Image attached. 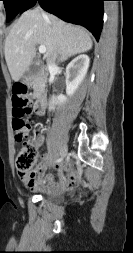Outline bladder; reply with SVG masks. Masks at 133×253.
I'll use <instances>...</instances> for the list:
<instances>
[{
    "label": "bladder",
    "instance_id": "obj_1",
    "mask_svg": "<svg viewBox=\"0 0 133 253\" xmlns=\"http://www.w3.org/2000/svg\"><path fill=\"white\" fill-rule=\"evenodd\" d=\"M45 198L55 203H60L63 201V197L60 195L48 194V195H45Z\"/></svg>",
    "mask_w": 133,
    "mask_h": 253
}]
</instances>
